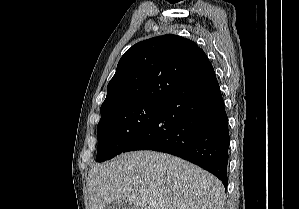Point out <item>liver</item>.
Segmentation results:
<instances>
[{
  "label": "liver",
  "mask_w": 299,
  "mask_h": 209,
  "mask_svg": "<svg viewBox=\"0 0 299 209\" xmlns=\"http://www.w3.org/2000/svg\"><path fill=\"white\" fill-rule=\"evenodd\" d=\"M88 186L90 209H104L119 199L136 209H224L225 191L220 180L161 152H128L111 162L93 165Z\"/></svg>",
  "instance_id": "obj_1"
}]
</instances>
